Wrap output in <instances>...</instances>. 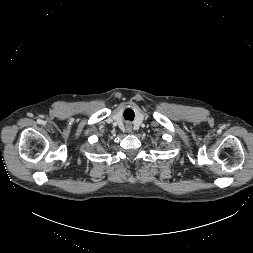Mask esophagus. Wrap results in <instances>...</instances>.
<instances>
[{"instance_id":"34e87169","label":"esophagus","mask_w":253,"mask_h":253,"mask_svg":"<svg viewBox=\"0 0 253 253\" xmlns=\"http://www.w3.org/2000/svg\"><path fill=\"white\" fill-rule=\"evenodd\" d=\"M127 131L130 133V132H132V127H131V125H128L127 126Z\"/></svg>"}]
</instances>
